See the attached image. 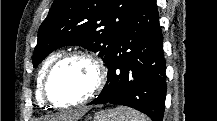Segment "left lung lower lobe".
Instances as JSON below:
<instances>
[{
	"instance_id": "1",
	"label": "left lung lower lobe",
	"mask_w": 217,
	"mask_h": 121,
	"mask_svg": "<svg viewBox=\"0 0 217 121\" xmlns=\"http://www.w3.org/2000/svg\"><path fill=\"white\" fill-rule=\"evenodd\" d=\"M162 44L156 0H139L110 54L108 80L88 105H126L162 121L167 90Z\"/></svg>"
}]
</instances>
